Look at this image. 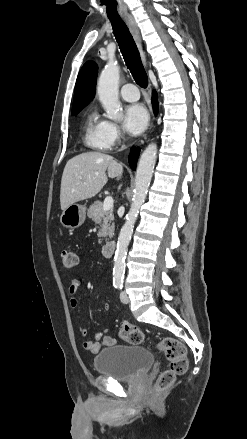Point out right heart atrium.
I'll return each instance as SVG.
<instances>
[{
    "label": "right heart atrium",
    "mask_w": 247,
    "mask_h": 439,
    "mask_svg": "<svg viewBox=\"0 0 247 439\" xmlns=\"http://www.w3.org/2000/svg\"><path fill=\"white\" fill-rule=\"evenodd\" d=\"M106 134L112 145L118 143L122 138L120 126L112 121H106Z\"/></svg>",
    "instance_id": "1"
}]
</instances>
